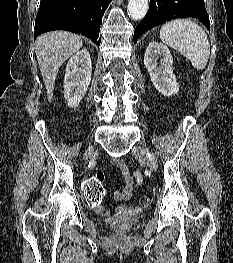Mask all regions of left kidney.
I'll return each mask as SVG.
<instances>
[{"label": "left kidney", "instance_id": "5707ae66", "mask_svg": "<svg viewBox=\"0 0 233 263\" xmlns=\"http://www.w3.org/2000/svg\"><path fill=\"white\" fill-rule=\"evenodd\" d=\"M159 57L160 63L157 62ZM144 65L152 84L159 93L169 97L179 91V85L173 73V59L167 46L155 41L149 43L144 55Z\"/></svg>", "mask_w": 233, "mask_h": 263}]
</instances>
